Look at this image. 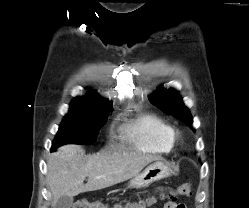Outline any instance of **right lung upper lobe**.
I'll return each mask as SVG.
<instances>
[{"mask_svg":"<svg viewBox=\"0 0 249 208\" xmlns=\"http://www.w3.org/2000/svg\"><path fill=\"white\" fill-rule=\"evenodd\" d=\"M112 104L108 100L98 96L97 94L90 95L86 97H77L70 104V108H87L99 111L112 110Z\"/></svg>","mask_w":249,"mask_h":208,"instance_id":"right-lung-upper-lobe-1","label":"right lung upper lobe"}]
</instances>
